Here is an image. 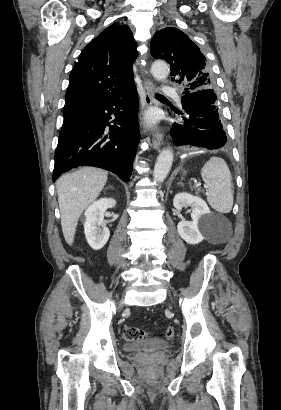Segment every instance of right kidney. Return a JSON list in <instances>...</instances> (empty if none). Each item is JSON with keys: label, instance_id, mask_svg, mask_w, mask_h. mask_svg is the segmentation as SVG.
<instances>
[{"label": "right kidney", "instance_id": "right-kidney-1", "mask_svg": "<svg viewBox=\"0 0 281 410\" xmlns=\"http://www.w3.org/2000/svg\"><path fill=\"white\" fill-rule=\"evenodd\" d=\"M116 201L112 198H101L93 202L85 211L82 221L86 240L91 248L100 250L107 243L110 231L104 223V213L113 208Z\"/></svg>", "mask_w": 281, "mask_h": 410}]
</instances>
